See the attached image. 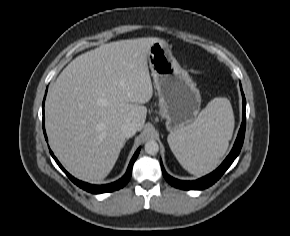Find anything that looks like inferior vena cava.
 <instances>
[{
  "instance_id": "1",
  "label": "inferior vena cava",
  "mask_w": 290,
  "mask_h": 236,
  "mask_svg": "<svg viewBox=\"0 0 290 236\" xmlns=\"http://www.w3.org/2000/svg\"><path fill=\"white\" fill-rule=\"evenodd\" d=\"M137 129L132 123H125L121 127V132L125 138H130L135 135Z\"/></svg>"
}]
</instances>
